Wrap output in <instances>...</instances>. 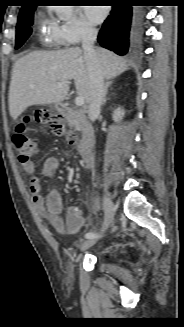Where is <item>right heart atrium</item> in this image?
I'll list each match as a JSON object with an SVG mask.
<instances>
[{
  "instance_id": "right-heart-atrium-1",
  "label": "right heart atrium",
  "mask_w": 184,
  "mask_h": 327,
  "mask_svg": "<svg viewBox=\"0 0 184 327\" xmlns=\"http://www.w3.org/2000/svg\"><path fill=\"white\" fill-rule=\"evenodd\" d=\"M95 33V27L78 10L73 9L61 23L54 25L52 38L60 45L73 46Z\"/></svg>"
}]
</instances>
